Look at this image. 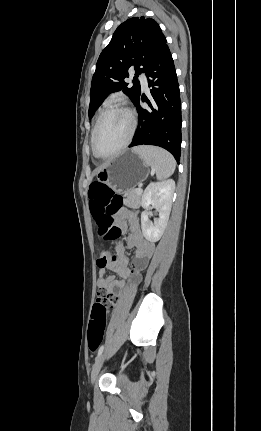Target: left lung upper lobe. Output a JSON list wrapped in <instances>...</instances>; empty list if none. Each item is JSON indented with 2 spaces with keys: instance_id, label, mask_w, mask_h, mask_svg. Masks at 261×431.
I'll list each match as a JSON object with an SVG mask.
<instances>
[{
  "instance_id": "5c2ea615",
  "label": "left lung upper lobe",
  "mask_w": 261,
  "mask_h": 431,
  "mask_svg": "<svg viewBox=\"0 0 261 431\" xmlns=\"http://www.w3.org/2000/svg\"><path fill=\"white\" fill-rule=\"evenodd\" d=\"M165 46L166 38L153 19L134 17L123 22L97 61L91 83L89 117L112 92L122 90L135 104L141 89L136 80L132 87L124 81L129 76L128 69L134 67L136 76L145 73Z\"/></svg>"
}]
</instances>
